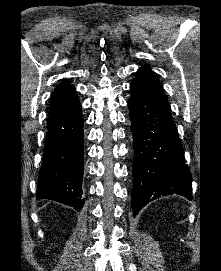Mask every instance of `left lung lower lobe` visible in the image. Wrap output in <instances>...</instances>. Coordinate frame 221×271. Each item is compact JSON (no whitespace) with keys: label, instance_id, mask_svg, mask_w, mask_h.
<instances>
[{"label":"left lung lower lobe","instance_id":"1","mask_svg":"<svg viewBox=\"0 0 221 271\" xmlns=\"http://www.w3.org/2000/svg\"><path fill=\"white\" fill-rule=\"evenodd\" d=\"M130 89L128 107L136 155L133 215L161 196L177 194L192 200V178L169 104L138 82L132 81Z\"/></svg>","mask_w":221,"mask_h":271}]
</instances>
